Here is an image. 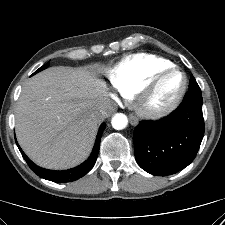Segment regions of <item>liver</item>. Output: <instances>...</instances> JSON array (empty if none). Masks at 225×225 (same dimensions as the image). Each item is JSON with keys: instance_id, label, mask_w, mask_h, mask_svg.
I'll return each mask as SVG.
<instances>
[{"instance_id": "obj_1", "label": "liver", "mask_w": 225, "mask_h": 225, "mask_svg": "<svg viewBox=\"0 0 225 225\" xmlns=\"http://www.w3.org/2000/svg\"><path fill=\"white\" fill-rule=\"evenodd\" d=\"M95 72L50 67L28 80L16 107V136L41 167L68 169L91 152L98 130L95 114L106 100Z\"/></svg>"}]
</instances>
